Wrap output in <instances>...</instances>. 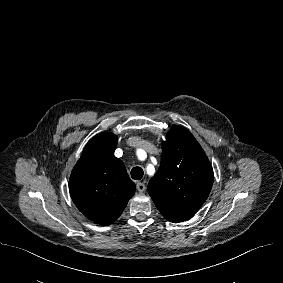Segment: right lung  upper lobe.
I'll return each mask as SVG.
<instances>
[{
	"instance_id": "cb5924a9",
	"label": "right lung upper lobe",
	"mask_w": 283,
	"mask_h": 283,
	"mask_svg": "<svg viewBox=\"0 0 283 283\" xmlns=\"http://www.w3.org/2000/svg\"><path fill=\"white\" fill-rule=\"evenodd\" d=\"M117 142L110 132L93 137L69 180L71 198L80 212L105 226L121 215L136 188L123 162L114 156Z\"/></svg>"
}]
</instances>
